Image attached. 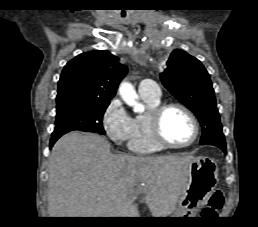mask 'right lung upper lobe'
Segmentation results:
<instances>
[{"mask_svg":"<svg viewBox=\"0 0 258 227\" xmlns=\"http://www.w3.org/2000/svg\"><path fill=\"white\" fill-rule=\"evenodd\" d=\"M107 50L82 53L64 67L58 82L57 98L77 96L110 102L127 67Z\"/></svg>","mask_w":258,"mask_h":227,"instance_id":"1","label":"right lung upper lobe"}]
</instances>
